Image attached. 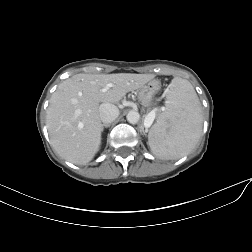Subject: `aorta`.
Listing matches in <instances>:
<instances>
[{
    "label": "aorta",
    "instance_id": "762f6f07",
    "mask_svg": "<svg viewBox=\"0 0 252 252\" xmlns=\"http://www.w3.org/2000/svg\"><path fill=\"white\" fill-rule=\"evenodd\" d=\"M126 118L129 123L136 124L140 119V114L135 110H131L128 112Z\"/></svg>",
    "mask_w": 252,
    "mask_h": 252
}]
</instances>
